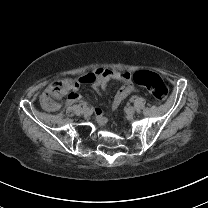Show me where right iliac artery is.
Segmentation results:
<instances>
[{
  "label": "right iliac artery",
  "mask_w": 208,
  "mask_h": 208,
  "mask_svg": "<svg viewBox=\"0 0 208 208\" xmlns=\"http://www.w3.org/2000/svg\"><path fill=\"white\" fill-rule=\"evenodd\" d=\"M87 106H88V104H87L86 102H83V103H82L83 109H84V108H87Z\"/></svg>",
  "instance_id": "1"
}]
</instances>
